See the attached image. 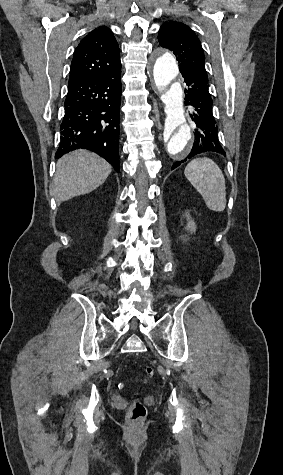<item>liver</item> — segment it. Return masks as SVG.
<instances>
[{
  "label": "liver",
  "instance_id": "liver-1",
  "mask_svg": "<svg viewBox=\"0 0 283 475\" xmlns=\"http://www.w3.org/2000/svg\"><path fill=\"white\" fill-rule=\"evenodd\" d=\"M111 170L112 166L106 160L88 150H75L66 154L56 164V200L66 202L75 196L93 192L105 182Z\"/></svg>",
  "mask_w": 283,
  "mask_h": 475
}]
</instances>
